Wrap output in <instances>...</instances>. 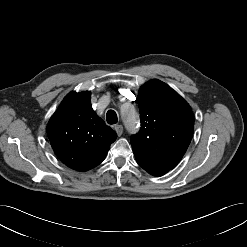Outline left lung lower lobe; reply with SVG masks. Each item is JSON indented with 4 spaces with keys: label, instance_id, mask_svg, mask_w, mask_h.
<instances>
[{
    "label": "left lung lower lobe",
    "instance_id": "obj_1",
    "mask_svg": "<svg viewBox=\"0 0 247 247\" xmlns=\"http://www.w3.org/2000/svg\"><path fill=\"white\" fill-rule=\"evenodd\" d=\"M169 170H163L161 173L157 174L156 176H160V175H163L165 174L166 172H168Z\"/></svg>",
    "mask_w": 247,
    "mask_h": 247
}]
</instances>
